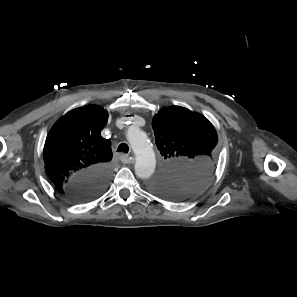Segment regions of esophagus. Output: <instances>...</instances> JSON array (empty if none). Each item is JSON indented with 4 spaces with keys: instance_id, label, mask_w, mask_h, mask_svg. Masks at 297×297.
<instances>
[{
    "instance_id": "1",
    "label": "esophagus",
    "mask_w": 297,
    "mask_h": 297,
    "mask_svg": "<svg viewBox=\"0 0 297 297\" xmlns=\"http://www.w3.org/2000/svg\"><path fill=\"white\" fill-rule=\"evenodd\" d=\"M120 159H121L122 163H124V164H130V163L134 162V159L126 154H122L120 156Z\"/></svg>"
}]
</instances>
